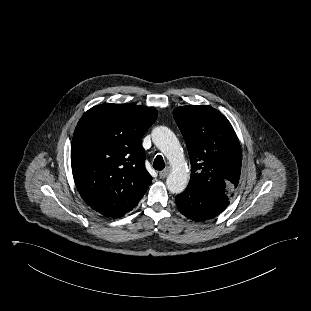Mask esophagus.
Instances as JSON below:
<instances>
[{
  "instance_id": "esophagus-1",
  "label": "esophagus",
  "mask_w": 311,
  "mask_h": 311,
  "mask_svg": "<svg viewBox=\"0 0 311 311\" xmlns=\"http://www.w3.org/2000/svg\"><path fill=\"white\" fill-rule=\"evenodd\" d=\"M169 172H170V169L166 168L163 171L159 172V175L161 178H166L168 176Z\"/></svg>"
}]
</instances>
